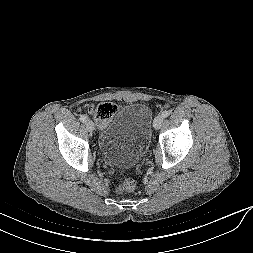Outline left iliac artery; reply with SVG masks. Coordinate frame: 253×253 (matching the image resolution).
<instances>
[{
    "label": "left iliac artery",
    "instance_id": "left-iliac-artery-1",
    "mask_svg": "<svg viewBox=\"0 0 253 253\" xmlns=\"http://www.w3.org/2000/svg\"><path fill=\"white\" fill-rule=\"evenodd\" d=\"M170 114H171V112L169 110H165L162 112L163 118H167Z\"/></svg>",
    "mask_w": 253,
    "mask_h": 253
}]
</instances>
